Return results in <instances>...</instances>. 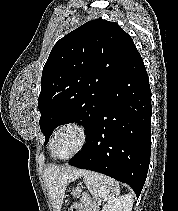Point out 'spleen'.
Wrapping results in <instances>:
<instances>
[{
	"label": "spleen",
	"instance_id": "3e777b00",
	"mask_svg": "<svg viewBox=\"0 0 178 211\" xmlns=\"http://www.w3.org/2000/svg\"><path fill=\"white\" fill-rule=\"evenodd\" d=\"M83 176L87 189L95 199L107 201L119 196V183L113 178L93 171H85Z\"/></svg>",
	"mask_w": 178,
	"mask_h": 211
}]
</instances>
